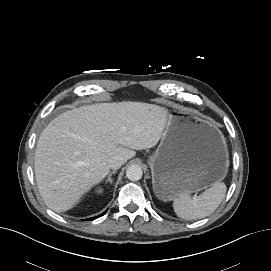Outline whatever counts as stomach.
<instances>
[{
	"label": "stomach",
	"mask_w": 271,
	"mask_h": 271,
	"mask_svg": "<svg viewBox=\"0 0 271 271\" xmlns=\"http://www.w3.org/2000/svg\"><path fill=\"white\" fill-rule=\"evenodd\" d=\"M168 113L161 142L148 160L154 194L164 202L221 181L229 165L226 140L216 125L192 110Z\"/></svg>",
	"instance_id": "0dacf381"
}]
</instances>
